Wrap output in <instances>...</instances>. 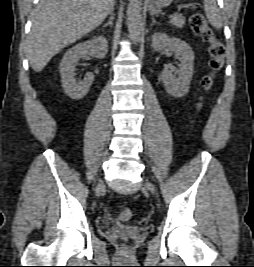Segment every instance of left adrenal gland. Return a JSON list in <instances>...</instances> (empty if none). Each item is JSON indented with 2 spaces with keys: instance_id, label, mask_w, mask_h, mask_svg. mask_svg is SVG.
<instances>
[{
  "instance_id": "a2214340",
  "label": "left adrenal gland",
  "mask_w": 254,
  "mask_h": 267,
  "mask_svg": "<svg viewBox=\"0 0 254 267\" xmlns=\"http://www.w3.org/2000/svg\"><path fill=\"white\" fill-rule=\"evenodd\" d=\"M151 26H153L154 24H158V22L156 21L155 17L151 18Z\"/></svg>"
}]
</instances>
